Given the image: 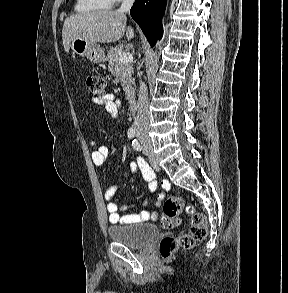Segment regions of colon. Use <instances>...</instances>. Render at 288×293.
I'll return each instance as SVG.
<instances>
[{
    "mask_svg": "<svg viewBox=\"0 0 288 293\" xmlns=\"http://www.w3.org/2000/svg\"><path fill=\"white\" fill-rule=\"evenodd\" d=\"M86 88L95 97L102 96L106 89L105 79L96 74L86 76ZM184 208V202L179 196L168 197L162 206L160 225L163 229H172L180 223V214ZM186 211L191 217V227L188 234L178 237L165 236L160 240L159 252L163 258H169L179 248L190 249L197 241L205 239L207 225L202 213L196 211L193 206H186Z\"/></svg>",
    "mask_w": 288,
    "mask_h": 293,
    "instance_id": "1",
    "label": "colon"
}]
</instances>
